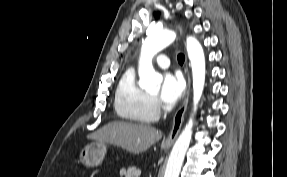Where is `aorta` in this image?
Instances as JSON below:
<instances>
[{
    "label": "aorta",
    "instance_id": "1",
    "mask_svg": "<svg viewBox=\"0 0 287 177\" xmlns=\"http://www.w3.org/2000/svg\"><path fill=\"white\" fill-rule=\"evenodd\" d=\"M176 39V33L171 30L152 32L144 41L139 60V86L147 91L155 90L162 82V76L155 72L152 58L163 48ZM187 53L191 62L193 76V105L194 113L202 96L205 83V56L199 41L187 37ZM193 119L190 117L182 133L176 140L169 156L164 177H179L186 152L192 138Z\"/></svg>",
    "mask_w": 287,
    "mask_h": 177
}]
</instances>
